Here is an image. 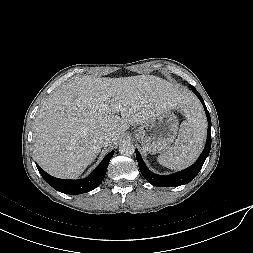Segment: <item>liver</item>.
<instances>
[{
  "label": "liver",
  "mask_w": 253,
  "mask_h": 253,
  "mask_svg": "<svg viewBox=\"0 0 253 253\" xmlns=\"http://www.w3.org/2000/svg\"><path fill=\"white\" fill-rule=\"evenodd\" d=\"M190 101L186 92L153 75L75 78L54 91L37 113L35 159L55 177L77 178L101 151L102 133H111L107 146L114 145L130 125L166 110H186Z\"/></svg>",
  "instance_id": "obj_1"
}]
</instances>
